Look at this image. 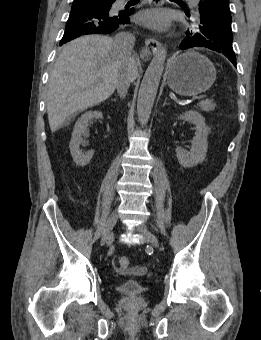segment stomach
<instances>
[{"label": "stomach", "mask_w": 261, "mask_h": 340, "mask_svg": "<svg viewBox=\"0 0 261 340\" xmlns=\"http://www.w3.org/2000/svg\"><path fill=\"white\" fill-rule=\"evenodd\" d=\"M215 79L213 63L196 52L175 56L167 65L168 86L182 96H195L207 91Z\"/></svg>", "instance_id": "1"}]
</instances>
